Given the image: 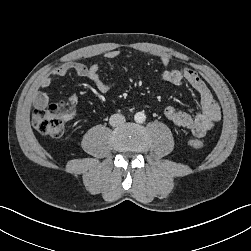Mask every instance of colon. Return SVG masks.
Listing matches in <instances>:
<instances>
[{
    "instance_id": "colon-1",
    "label": "colon",
    "mask_w": 251,
    "mask_h": 251,
    "mask_svg": "<svg viewBox=\"0 0 251 251\" xmlns=\"http://www.w3.org/2000/svg\"><path fill=\"white\" fill-rule=\"evenodd\" d=\"M73 115L72 107H68L64 102H57L36 108L32 116V123L40 134L57 138L63 134L65 123ZM191 145L195 148H202L204 144L200 140H192Z\"/></svg>"
}]
</instances>
